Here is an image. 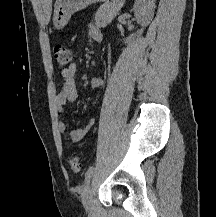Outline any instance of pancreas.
I'll return each mask as SVG.
<instances>
[{
    "label": "pancreas",
    "mask_w": 216,
    "mask_h": 217,
    "mask_svg": "<svg viewBox=\"0 0 216 217\" xmlns=\"http://www.w3.org/2000/svg\"><path fill=\"white\" fill-rule=\"evenodd\" d=\"M124 1L125 0H113L111 3L101 5L95 14V25L99 28H105L117 15Z\"/></svg>",
    "instance_id": "pancreas-1"
}]
</instances>
